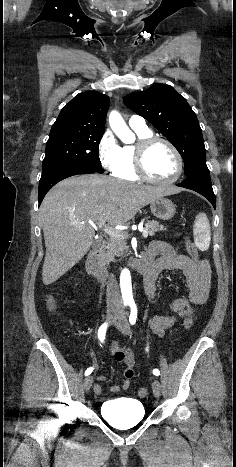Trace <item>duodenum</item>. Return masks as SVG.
Returning <instances> with one entry per match:
<instances>
[{
  "label": "duodenum",
  "instance_id": "1",
  "mask_svg": "<svg viewBox=\"0 0 236 467\" xmlns=\"http://www.w3.org/2000/svg\"><path fill=\"white\" fill-rule=\"evenodd\" d=\"M106 249V242L100 241L95 244L92 250L89 252L86 259L87 271L97 280L100 285H105L108 278L107 270L103 265V255ZM132 268L141 275L145 281H153L155 273L152 271L149 264L139 259L132 264Z\"/></svg>",
  "mask_w": 236,
  "mask_h": 467
}]
</instances>
